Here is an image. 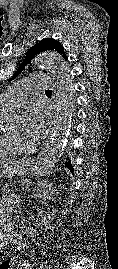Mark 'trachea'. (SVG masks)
I'll return each instance as SVG.
<instances>
[{"instance_id":"1","label":"trachea","mask_w":118,"mask_h":269,"mask_svg":"<svg viewBox=\"0 0 118 269\" xmlns=\"http://www.w3.org/2000/svg\"><path fill=\"white\" fill-rule=\"evenodd\" d=\"M45 92H52V90H49V89H48V90H46Z\"/></svg>"}]
</instances>
